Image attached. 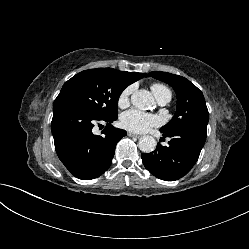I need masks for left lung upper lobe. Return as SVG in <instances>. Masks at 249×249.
<instances>
[{"label":"left lung upper lobe","mask_w":249,"mask_h":249,"mask_svg":"<svg viewBox=\"0 0 249 249\" xmlns=\"http://www.w3.org/2000/svg\"><path fill=\"white\" fill-rule=\"evenodd\" d=\"M147 76L171 85L177 95V110L174 117L163 126L162 133H170L188 126H207L209 113L202 92L186 78L166 73L150 72Z\"/></svg>","instance_id":"1"}]
</instances>
